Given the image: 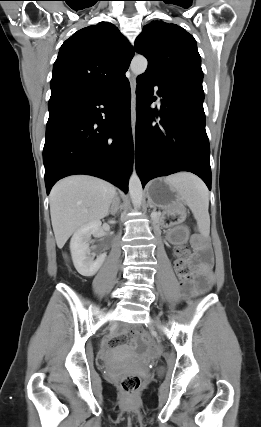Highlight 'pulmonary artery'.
I'll return each instance as SVG.
<instances>
[{
  "mask_svg": "<svg viewBox=\"0 0 261 427\" xmlns=\"http://www.w3.org/2000/svg\"><path fill=\"white\" fill-rule=\"evenodd\" d=\"M156 92H158V87L155 88ZM158 99L160 100V96L158 95Z\"/></svg>",
  "mask_w": 261,
  "mask_h": 427,
  "instance_id": "pulmonary-artery-1",
  "label": "pulmonary artery"
}]
</instances>
